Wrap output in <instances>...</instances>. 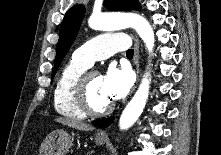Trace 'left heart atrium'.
I'll return each mask as SVG.
<instances>
[{
    "mask_svg": "<svg viewBox=\"0 0 221 155\" xmlns=\"http://www.w3.org/2000/svg\"><path fill=\"white\" fill-rule=\"evenodd\" d=\"M103 89L109 99L118 100L123 98L129 91L132 78L127 69H119L110 66L102 76Z\"/></svg>",
    "mask_w": 221,
    "mask_h": 155,
    "instance_id": "left-heart-atrium-1",
    "label": "left heart atrium"
}]
</instances>
